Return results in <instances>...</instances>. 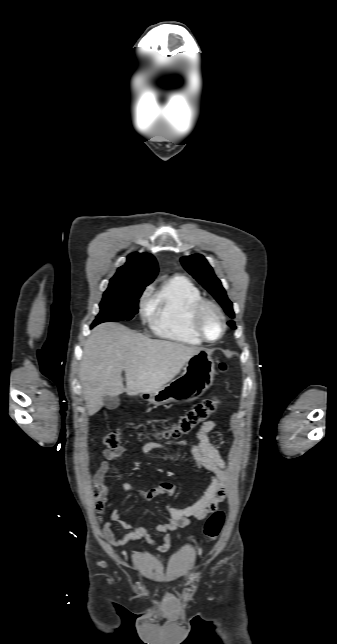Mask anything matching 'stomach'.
Returning <instances> with one entry per match:
<instances>
[{
    "label": "stomach",
    "mask_w": 337,
    "mask_h": 644,
    "mask_svg": "<svg viewBox=\"0 0 337 644\" xmlns=\"http://www.w3.org/2000/svg\"><path fill=\"white\" fill-rule=\"evenodd\" d=\"M214 362L207 350H201L185 364L183 373L169 384L141 396L154 405L171 402L189 403L200 398L213 384Z\"/></svg>",
    "instance_id": "1"
}]
</instances>
